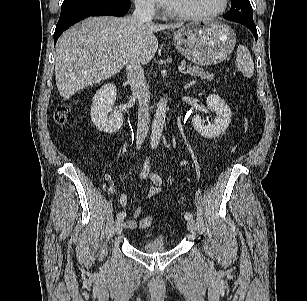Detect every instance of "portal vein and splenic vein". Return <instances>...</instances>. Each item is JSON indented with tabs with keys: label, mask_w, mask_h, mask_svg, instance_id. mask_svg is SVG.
<instances>
[{
	"label": "portal vein and splenic vein",
	"mask_w": 307,
	"mask_h": 301,
	"mask_svg": "<svg viewBox=\"0 0 307 301\" xmlns=\"http://www.w3.org/2000/svg\"><path fill=\"white\" fill-rule=\"evenodd\" d=\"M185 65L184 64H182V65H180L179 67H178V69H179V71H183V70H185Z\"/></svg>",
	"instance_id": "18ae733b"
}]
</instances>
